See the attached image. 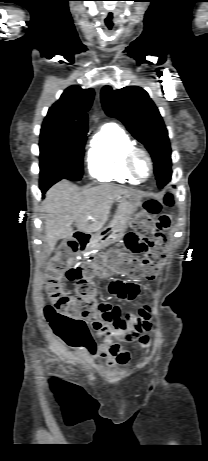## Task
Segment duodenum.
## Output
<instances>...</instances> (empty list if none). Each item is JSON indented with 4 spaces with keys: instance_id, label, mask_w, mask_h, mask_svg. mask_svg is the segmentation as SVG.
Wrapping results in <instances>:
<instances>
[{
    "instance_id": "1",
    "label": "duodenum",
    "mask_w": 208,
    "mask_h": 461,
    "mask_svg": "<svg viewBox=\"0 0 208 461\" xmlns=\"http://www.w3.org/2000/svg\"><path fill=\"white\" fill-rule=\"evenodd\" d=\"M83 237H84L85 240H89V239H90L89 234H84Z\"/></svg>"
}]
</instances>
